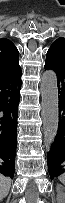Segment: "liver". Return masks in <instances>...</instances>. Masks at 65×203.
<instances>
[{"label": "liver", "mask_w": 65, "mask_h": 203, "mask_svg": "<svg viewBox=\"0 0 65 203\" xmlns=\"http://www.w3.org/2000/svg\"><path fill=\"white\" fill-rule=\"evenodd\" d=\"M11 187V179L5 176H0V198H5Z\"/></svg>", "instance_id": "6515ba94"}]
</instances>
